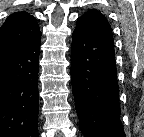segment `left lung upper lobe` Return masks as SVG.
I'll use <instances>...</instances> for the list:
<instances>
[{
  "mask_svg": "<svg viewBox=\"0 0 144 137\" xmlns=\"http://www.w3.org/2000/svg\"><path fill=\"white\" fill-rule=\"evenodd\" d=\"M77 22H81L96 31L106 32L112 35L111 26L105 15L95 9H91L79 17Z\"/></svg>",
  "mask_w": 144,
  "mask_h": 137,
  "instance_id": "left-lung-upper-lobe-1",
  "label": "left lung upper lobe"
}]
</instances>
